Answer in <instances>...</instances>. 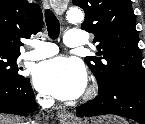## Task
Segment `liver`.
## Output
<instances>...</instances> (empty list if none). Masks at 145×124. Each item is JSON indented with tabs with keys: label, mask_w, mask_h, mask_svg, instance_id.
<instances>
[{
	"label": "liver",
	"mask_w": 145,
	"mask_h": 124,
	"mask_svg": "<svg viewBox=\"0 0 145 124\" xmlns=\"http://www.w3.org/2000/svg\"><path fill=\"white\" fill-rule=\"evenodd\" d=\"M0 124H25L19 117L0 115Z\"/></svg>",
	"instance_id": "1"
}]
</instances>
